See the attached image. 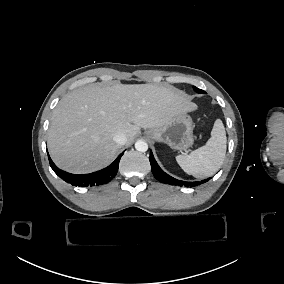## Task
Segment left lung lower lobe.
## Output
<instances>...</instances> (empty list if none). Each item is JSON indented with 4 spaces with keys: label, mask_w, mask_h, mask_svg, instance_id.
<instances>
[{
    "label": "left lung lower lobe",
    "mask_w": 284,
    "mask_h": 284,
    "mask_svg": "<svg viewBox=\"0 0 284 284\" xmlns=\"http://www.w3.org/2000/svg\"><path fill=\"white\" fill-rule=\"evenodd\" d=\"M150 163H151V170L152 173L154 175V177L162 182V183H167L170 185H179V186H185V187H193V186H197L199 184L205 183L208 180H210V178L205 179L201 182H185V181H181V180H177L171 176H169L168 174H166L157 164L156 160L154 159V156L152 154V151H150Z\"/></svg>",
    "instance_id": "obj_1"
}]
</instances>
